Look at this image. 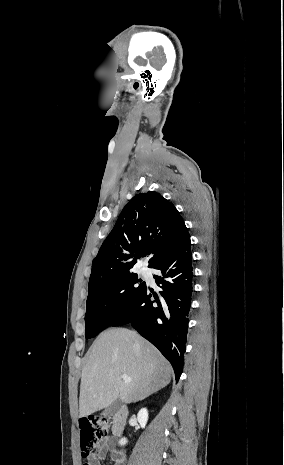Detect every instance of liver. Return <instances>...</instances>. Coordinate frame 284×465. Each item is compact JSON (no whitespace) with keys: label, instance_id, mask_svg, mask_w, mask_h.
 Returning a JSON list of instances; mask_svg holds the SVG:
<instances>
[{"label":"liver","instance_id":"1","mask_svg":"<svg viewBox=\"0 0 284 465\" xmlns=\"http://www.w3.org/2000/svg\"><path fill=\"white\" fill-rule=\"evenodd\" d=\"M172 367L163 355L128 329H107L91 347L81 375L79 419L122 403L143 401L171 381ZM128 375L131 383H124Z\"/></svg>","mask_w":284,"mask_h":465}]
</instances>
